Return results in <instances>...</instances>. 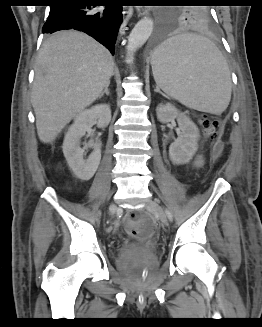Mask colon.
<instances>
[{
  "mask_svg": "<svg viewBox=\"0 0 262 327\" xmlns=\"http://www.w3.org/2000/svg\"><path fill=\"white\" fill-rule=\"evenodd\" d=\"M200 122L205 139L208 141L216 140L220 132V121L215 117L204 115ZM222 151V144L217 142L213 149L214 155L218 157ZM126 227L129 233L138 238L150 237L154 230L152 220L144 213L130 214L126 220Z\"/></svg>",
  "mask_w": 262,
  "mask_h": 327,
  "instance_id": "obj_1",
  "label": "colon"
}]
</instances>
